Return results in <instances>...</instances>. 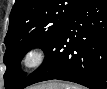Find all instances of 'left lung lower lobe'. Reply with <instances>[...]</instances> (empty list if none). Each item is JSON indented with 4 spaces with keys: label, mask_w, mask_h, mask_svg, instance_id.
I'll return each instance as SVG.
<instances>
[{
    "label": "left lung lower lobe",
    "mask_w": 107,
    "mask_h": 89,
    "mask_svg": "<svg viewBox=\"0 0 107 89\" xmlns=\"http://www.w3.org/2000/svg\"><path fill=\"white\" fill-rule=\"evenodd\" d=\"M42 65L15 89L58 79L107 87V0H84L45 49Z\"/></svg>",
    "instance_id": "1"
}]
</instances>
